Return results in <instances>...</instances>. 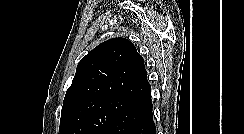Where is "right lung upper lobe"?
I'll use <instances>...</instances> for the list:
<instances>
[{
  "label": "right lung upper lobe",
  "mask_w": 244,
  "mask_h": 134,
  "mask_svg": "<svg viewBox=\"0 0 244 134\" xmlns=\"http://www.w3.org/2000/svg\"><path fill=\"white\" fill-rule=\"evenodd\" d=\"M151 91L142 56L125 38L109 39L79 62L61 112L64 118L75 106L93 99H135Z\"/></svg>",
  "instance_id": "obj_1"
}]
</instances>
